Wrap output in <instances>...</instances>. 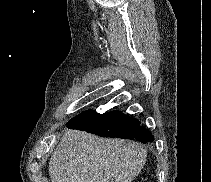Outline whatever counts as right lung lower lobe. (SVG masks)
<instances>
[{
  "label": "right lung lower lobe",
  "instance_id": "obj_1",
  "mask_svg": "<svg viewBox=\"0 0 211 182\" xmlns=\"http://www.w3.org/2000/svg\"><path fill=\"white\" fill-rule=\"evenodd\" d=\"M67 127L102 137L136 139L142 143L154 140L152 134L141 127L136 118H130L118 110L99 114L89 109L72 118Z\"/></svg>",
  "mask_w": 211,
  "mask_h": 182
}]
</instances>
